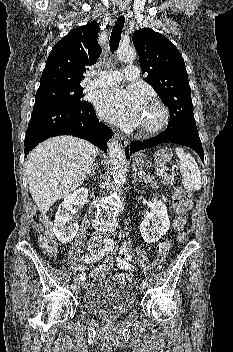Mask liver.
<instances>
[{"label":"liver","mask_w":233,"mask_h":352,"mask_svg":"<svg viewBox=\"0 0 233 352\" xmlns=\"http://www.w3.org/2000/svg\"><path fill=\"white\" fill-rule=\"evenodd\" d=\"M95 156L94 145L67 135L48 139L29 154L25 163L29 189L42 215L83 184Z\"/></svg>","instance_id":"6515ba94"}]
</instances>
